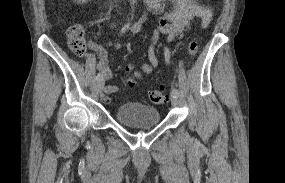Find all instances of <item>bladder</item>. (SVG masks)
I'll return each instance as SVG.
<instances>
[{
    "label": "bladder",
    "instance_id": "obj_1",
    "mask_svg": "<svg viewBox=\"0 0 285 183\" xmlns=\"http://www.w3.org/2000/svg\"><path fill=\"white\" fill-rule=\"evenodd\" d=\"M116 118L119 123L125 125L154 126L160 122L158 109L136 102L121 105L116 110Z\"/></svg>",
    "mask_w": 285,
    "mask_h": 183
}]
</instances>
